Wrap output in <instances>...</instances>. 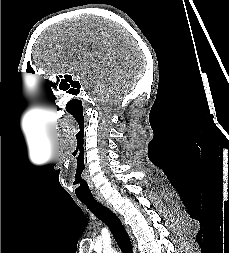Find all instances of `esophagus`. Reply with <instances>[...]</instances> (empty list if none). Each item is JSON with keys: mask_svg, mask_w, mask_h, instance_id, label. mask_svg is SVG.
Wrapping results in <instances>:
<instances>
[{"mask_svg": "<svg viewBox=\"0 0 229 253\" xmlns=\"http://www.w3.org/2000/svg\"><path fill=\"white\" fill-rule=\"evenodd\" d=\"M96 199L103 205H105L106 207H108L109 209H112V207L110 206V204L100 195L96 196Z\"/></svg>", "mask_w": 229, "mask_h": 253, "instance_id": "1", "label": "esophagus"}]
</instances>
